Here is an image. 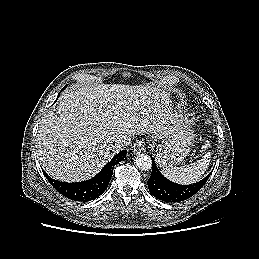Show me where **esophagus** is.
Wrapping results in <instances>:
<instances>
[{"label": "esophagus", "instance_id": "obj_1", "mask_svg": "<svg viewBox=\"0 0 259 259\" xmlns=\"http://www.w3.org/2000/svg\"><path fill=\"white\" fill-rule=\"evenodd\" d=\"M145 151V143L141 140L137 141L136 143H134L133 145V152L135 154L141 153Z\"/></svg>", "mask_w": 259, "mask_h": 259}]
</instances>
